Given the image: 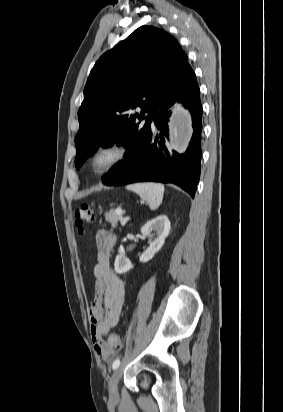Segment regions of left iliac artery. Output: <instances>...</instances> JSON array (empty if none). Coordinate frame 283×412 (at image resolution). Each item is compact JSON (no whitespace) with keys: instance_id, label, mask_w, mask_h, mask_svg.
Instances as JSON below:
<instances>
[{"instance_id":"left-iliac-artery-1","label":"left iliac artery","mask_w":283,"mask_h":412,"mask_svg":"<svg viewBox=\"0 0 283 412\" xmlns=\"http://www.w3.org/2000/svg\"><path fill=\"white\" fill-rule=\"evenodd\" d=\"M119 365H120V359H116L112 364V369L113 370L117 369Z\"/></svg>"}]
</instances>
